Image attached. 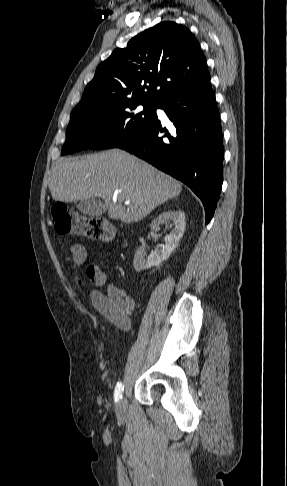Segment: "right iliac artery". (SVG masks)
Returning a JSON list of instances; mask_svg holds the SVG:
<instances>
[{
    "mask_svg": "<svg viewBox=\"0 0 287 486\" xmlns=\"http://www.w3.org/2000/svg\"><path fill=\"white\" fill-rule=\"evenodd\" d=\"M123 389H124L123 384L121 382L118 383L114 391L115 402H118L122 398Z\"/></svg>",
    "mask_w": 287,
    "mask_h": 486,
    "instance_id": "1",
    "label": "right iliac artery"
}]
</instances>
